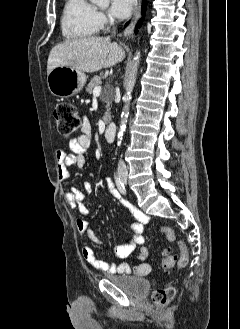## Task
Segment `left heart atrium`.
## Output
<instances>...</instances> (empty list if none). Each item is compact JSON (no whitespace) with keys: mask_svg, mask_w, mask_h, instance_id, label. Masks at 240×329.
Returning <instances> with one entry per match:
<instances>
[{"mask_svg":"<svg viewBox=\"0 0 240 329\" xmlns=\"http://www.w3.org/2000/svg\"><path fill=\"white\" fill-rule=\"evenodd\" d=\"M135 0H111L110 13L118 19L127 18L133 9Z\"/></svg>","mask_w":240,"mask_h":329,"instance_id":"obj_1","label":"left heart atrium"}]
</instances>
